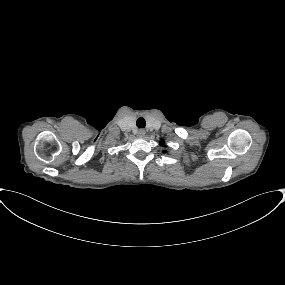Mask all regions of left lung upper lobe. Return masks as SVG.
I'll use <instances>...</instances> for the list:
<instances>
[{
    "label": "left lung upper lobe",
    "mask_w": 285,
    "mask_h": 285,
    "mask_svg": "<svg viewBox=\"0 0 285 285\" xmlns=\"http://www.w3.org/2000/svg\"><path fill=\"white\" fill-rule=\"evenodd\" d=\"M160 144H161L162 146H164V142H163V141H161Z\"/></svg>",
    "instance_id": "obj_1"
}]
</instances>
